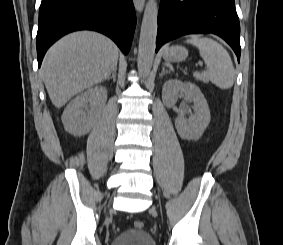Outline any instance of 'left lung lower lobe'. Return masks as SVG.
Here are the masks:
<instances>
[{
	"instance_id": "left-lung-lower-lobe-1",
	"label": "left lung lower lobe",
	"mask_w": 283,
	"mask_h": 245,
	"mask_svg": "<svg viewBox=\"0 0 283 245\" xmlns=\"http://www.w3.org/2000/svg\"><path fill=\"white\" fill-rule=\"evenodd\" d=\"M213 33L223 38L240 61V23L234 0H163L158 14L156 51L186 34Z\"/></svg>"
}]
</instances>
